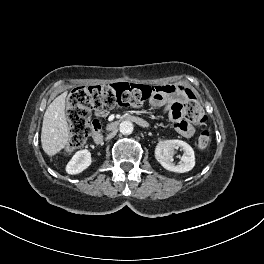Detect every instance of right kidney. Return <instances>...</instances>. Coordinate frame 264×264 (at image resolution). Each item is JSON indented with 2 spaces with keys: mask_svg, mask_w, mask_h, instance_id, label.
Instances as JSON below:
<instances>
[{
  "mask_svg": "<svg viewBox=\"0 0 264 264\" xmlns=\"http://www.w3.org/2000/svg\"><path fill=\"white\" fill-rule=\"evenodd\" d=\"M92 163L91 153L87 150L77 151L66 165V172L71 175L79 174Z\"/></svg>",
  "mask_w": 264,
  "mask_h": 264,
  "instance_id": "obj_1",
  "label": "right kidney"
}]
</instances>
